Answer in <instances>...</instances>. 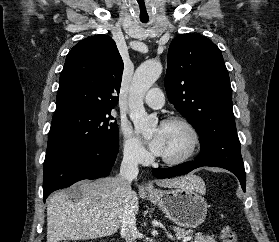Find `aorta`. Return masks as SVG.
<instances>
[{
	"label": "aorta",
	"mask_w": 279,
	"mask_h": 242,
	"mask_svg": "<svg viewBox=\"0 0 279 242\" xmlns=\"http://www.w3.org/2000/svg\"><path fill=\"white\" fill-rule=\"evenodd\" d=\"M161 73V63L150 60L144 62L137 68L132 80L129 97V116L135 129L140 131L145 139L150 138L155 131L157 119L146 113L143 98Z\"/></svg>",
	"instance_id": "aorta-1"
}]
</instances>
